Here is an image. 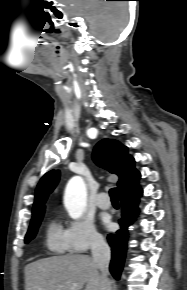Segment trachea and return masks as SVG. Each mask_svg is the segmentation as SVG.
<instances>
[{
    "instance_id": "1",
    "label": "trachea",
    "mask_w": 187,
    "mask_h": 290,
    "mask_svg": "<svg viewBox=\"0 0 187 290\" xmlns=\"http://www.w3.org/2000/svg\"><path fill=\"white\" fill-rule=\"evenodd\" d=\"M109 194H110L111 200L113 202H118V195H117V189L116 188L110 189Z\"/></svg>"
}]
</instances>
